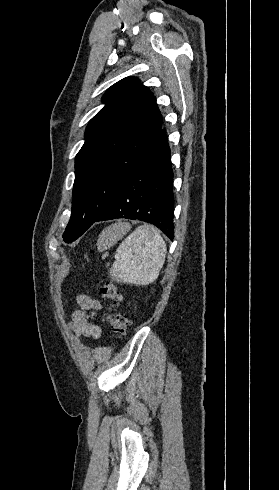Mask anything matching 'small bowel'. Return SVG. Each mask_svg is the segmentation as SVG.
<instances>
[{
	"instance_id": "1",
	"label": "small bowel",
	"mask_w": 279,
	"mask_h": 490,
	"mask_svg": "<svg viewBox=\"0 0 279 490\" xmlns=\"http://www.w3.org/2000/svg\"><path fill=\"white\" fill-rule=\"evenodd\" d=\"M79 309L74 310L71 315L70 328L78 337L99 339L101 328L94 322L96 313L100 310V303L97 299L79 294L76 297Z\"/></svg>"
}]
</instances>
